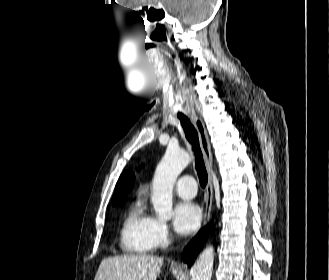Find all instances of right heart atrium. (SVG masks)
Segmentation results:
<instances>
[{
    "instance_id": "right-heart-atrium-1",
    "label": "right heart atrium",
    "mask_w": 329,
    "mask_h": 280,
    "mask_svg": "<svg viewBox=\"0 0 329 280\" xmlns=\"http://www.w3.org/2000/svg\"><path fill=\"white\" fill-rule=\"evenodd\" d=\"M152 236L155 247L165 246L170 241V232L167 224L160 219H155Z\"/></svg>"
}]
</instances>
